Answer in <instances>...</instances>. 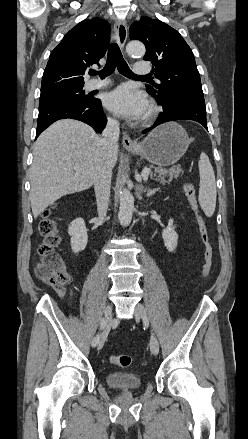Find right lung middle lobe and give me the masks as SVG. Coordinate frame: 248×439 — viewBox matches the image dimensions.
Returning <instances> with one entry per match:
<instances>
[{
    "label": "right lung middle lobe",
    "instance_id": "right-lung-middle-lobe-1",
    "mask_svg": "<svg viewBox=\"0 0 248 439\" xmlns=\"http://www.w3.org/2000/svg\"><path fill=\"white\" fill-rule=\"evenodd\" d=\"M72 101L90 102L92 101V97H90L88 94H85L83 87H78L58 93L40 96L39 111L52 107L54 105L72 102Z\"/></svg>",
    "mask_w": 248,
    "mask_h": 439
}]
</instances>
